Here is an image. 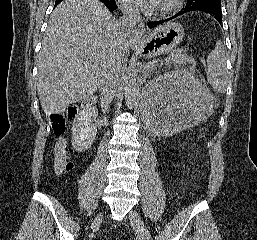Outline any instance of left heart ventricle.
I'll return each instance as SVG.
<instances>
[{"label":"left heart ventricle","mask_w":257,"mask_h":240,"mask_svg":"<svg viewBox=\"0 0 257 240\" xmlns=\"http://www.w3.org/2000/svg\"><path fill=\"white\" fill-rule=\"evenodd\" d=\"M169 0H161L160 1V4H159V7H162L164 5H166L168 3Z\"/></svg>","instance_id":"1"}]
</instances>
